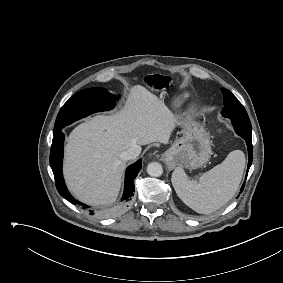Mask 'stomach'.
<instances>
[{
  "instance_id": "obj_1",
  "label": "stomach",
  "mask_w": 283,
  "mask_h": 283,
  "mask_svg": "<svg viewBox=\"0 0 283 283\" xmlns=\"http://www.w3.org/2000/svg\"><path fill=\"white\" fill-rule=\"evenodd\" d=\"M182 136L163 154L168 163L195 169L207 163L212 155L211 141L206 130L197 122L176 115Z\"/></svg>"
}]
</instances>
